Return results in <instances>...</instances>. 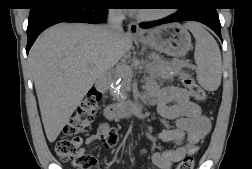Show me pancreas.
<instances>
[{
	"label": "pancreas",
	"mask_w": 252,
	"mask_h": 169,
	"mask_svg": "<svg viewBox=\"0 0 252 169\" xmlns=\"http://www.w3.org/2000/svg\"><path fill=\"white\" fill-rule=\"evenodd\" d=\"M188 66L186 62L180 60H172L166 61L161 59L158 55H152L150 61L145 62V70L150 73L151 75H155L161 79H171L174 76L178 75L182 68ZM115 74L122 75L118 70ZM125 76L123 84L127 81L130 77L129 75H122ZM121 94L124 95L123 98H118L120 103H124L127 100L128 93L127 90H122Z\"/></svg>",
	"instance_id": "pancreas-1"
}]
</instances>
